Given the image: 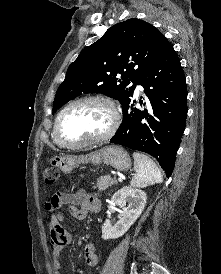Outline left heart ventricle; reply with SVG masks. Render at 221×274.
Instances as JSON below:
<instances>
[{"label":"left heart ventricle","mask_w":221,"mask_h":274,"mask_svg":"<svg viewBox=\"0 0 221 274\" xmlns=\"http://www.w3.org/2000/svg\"><path fill=\"white\" fill-rule=\"evenodd\" d=\"M110 123L111 114L105 105L86 102L73 106L64 114L60 132L66 141H84L103 134Z\"/></svg>","instance_id":"left-heart-ventricle-1"}]
</instances>
